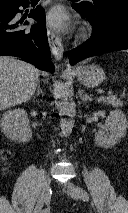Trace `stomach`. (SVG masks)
I'll list each match as a JSON object with an SVG mask.
<instances>
[{
	"instance_id": "1",
	"label": "stomach",
	"mask_w": 128,
	"mask_h": 213,
	"mask_svg": "<svg viewBox=\"0 0 128 213\" xmlns=\"http://www.w3.org/2000/svg\"><path fill=\"white\" fill-rule=\"evenodd\" d=\"M75 74L78 81L87 87H96L105 80L104 70L96 64L78 67Z\"/></svg>"
}]
</instances>
